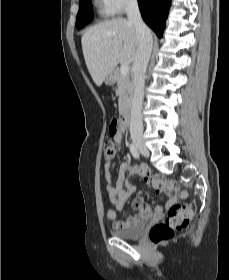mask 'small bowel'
<instances>
[{
    "label": "small bowel",
    "instance_id": "1",
    "mask_svg": "<svg viewBox=\"0 0 229 280\" xmlns=\"http://www.w3.org/2000/svg\"><path fill=\"white\" fill-rule=\"evenodd\" d=\"M125 131L121 128L113 134V139L116 143L122 141ZM129 172L128 179L135 176H141L143 179H149V171L139 165H133L130 162H122L116 169V183L112 185L109 183L107 185V191L109 193L110 201L116 210H121L125 206L127 200L135 193L136 188L129 181L125 182L126 172ZM169 190L166 187H161L157 189L158 194H167ZM134 212L140 213V215L129 217L125 220H117L116 213L114 209L108 210V217L112 221L113 230H120L132 227L137 221L144 218H148L152 215L162 216L164 214V209L162 206H157L153 211L141 200H135L131 206Z\"/></svg>",
    "mask_w": 229,
    "mask_h": 280
}]
</instances>
